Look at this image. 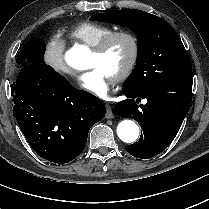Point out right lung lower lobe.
<instances>
[{"label": "right lung lower lobe", "mask_w": 209, "mask_h": 209, "mask_svg": "<svg viewBox=\"0 0 209 209\" xmlns=\"http://www.w3.org/2000/svg\"><path fill=\"white\" fill-rule=\"evenodd\" d=\"M16 118L26 140L48 161L64 164L84 150L89 129L106 108L43 63H27L11 85Z\"/></svg>", "instance_id": "right-lung-lower-lobe-1"}]
</instances>
